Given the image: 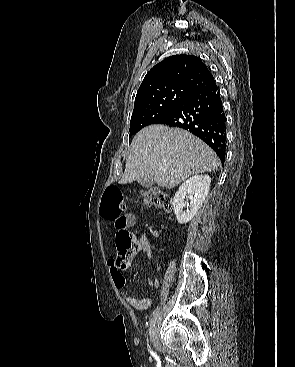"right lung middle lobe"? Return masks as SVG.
<instances>
[{
	"instance_id": "right-lung-middle-lobe-1",
	"label": "right lung middle lobe",
	"mask_w": 295,
	"mask_h": 367,
	"mask_svg": "<svg viewBox=\"0 0 295 367\" xmlns=\"http://www.w3.org/2000/svg\"><path fill=\"white\" fill-rule=\"evenodd\" d=\"M192 92L174 88L154 93L135 101L131 116L129 136L136 134L145 126L157 124L170 115Z\"/></svg>"
}]
</instances>
